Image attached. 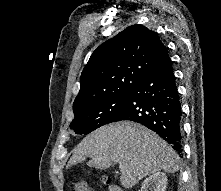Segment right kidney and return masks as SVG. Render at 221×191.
<instances>
[{"label":"right kidney","instance_id":"right-kidney-1","mask_svg":"<svg viewBox=\"0 0 221 191\" xmlns=\"http://www.w3.org/2000/svg\"><path fill=\"white\" fill-rule=\"evenodd\" d=\"M167 177L163 172H156L144 180L140 191H166Z\"/></svg>","mask_w":221,"mask_h":191}]
</instances>
